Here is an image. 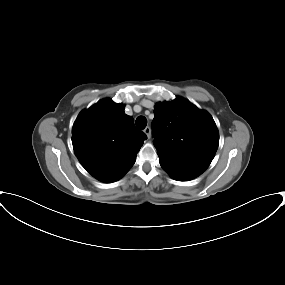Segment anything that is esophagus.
<instances>
[{
  "label": "esophagus",
  "mask_w": 285,
  "mask_h": 285,
  "mask_svg": "<svg viewBox=\"0 0 285 285\" xmlns=\"http://www.w3.org/2000/svg\"><path fill=\"white\" fill-rule=\"evenodd\" d=\"M145 134L147 135L148 139L151 138V128L150 127H146L144 129Z\"/></svg>",
  "instance_id": "1"
}]
</instances>
